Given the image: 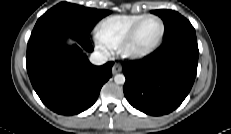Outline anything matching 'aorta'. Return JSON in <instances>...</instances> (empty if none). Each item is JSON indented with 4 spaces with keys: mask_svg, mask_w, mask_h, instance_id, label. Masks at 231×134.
<instances>
[{
    "mask_svg": "<svg viewBox=\"0 0 231 134\" xmlns=\"http://www.w3.org/2000/svg\"><path fill=\"white\" fill-rule=\"evenodd\" d=\"M114 81L116 84H124L125 83V76L123 74H117L114 77Z\"/></svg>",
    "mask_w": 231,
    "mask_h": 134,
    "instance_id": "1",
    "label": "aorta"
}]
</instances>
